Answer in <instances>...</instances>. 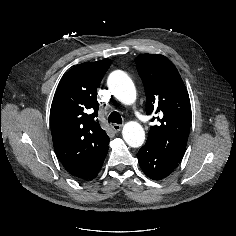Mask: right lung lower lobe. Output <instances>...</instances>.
Listing matches in <instances>:
<instances>
[{
	"label": "right lung lower lobe",
	"instance_id": "obj_1",
	"mask_svg": "<svg viewBox=\"0 0 236 236\" xmlns=\"http://www.w3.org/2000/svg\"><path fill=\"white\" fill-rule=\"evenodd\" d=\"M103 161L93 171H91L86 177H84L83 179H86V180L94 179L96 177V175L98 174L99 170L101 169Z\"/></svg>",
	"mask_w": 236,
	"mask_h": 236
}]
</instances>
